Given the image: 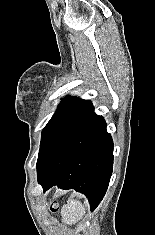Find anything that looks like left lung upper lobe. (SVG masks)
<instances>
[{
    "label": "left lung upper lobe",
    "instance_id": "obj_1",
    "mask_svg": "<svg viewBox=\"0 0 155 235\" xmlns=\"http://www.w3.org/2000/svg\"><path fill=\"white\" fill-rule=\"evenodd\" d=\"M91 101L76 97L65 98L42 131L37 172L54 149L77 128L91 113Z\"/></svg>",
    "mask_w": 155,
    "mask_h": 235
}]
</instances>
